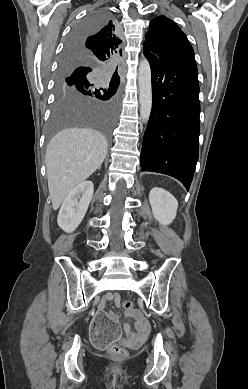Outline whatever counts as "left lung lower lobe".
<instances>
[{
    "label": "left lung lower lobe",
    "instance_id": "0a47b994",
    "mask_svg": "<svg viewBox=\"0 0 248 389\" xmlns=\"http://www.w3.org/2000/svg\"><path fill=\"white\" fill-rule=\"evenodd\" d=\"M152 75V110L141 171L170 175L189 190L199 143V82L194 56L159 58L145 51Z\"/></svg>",
    "mask_w": 248,
    "mask_h": 389
}]
</instances>
